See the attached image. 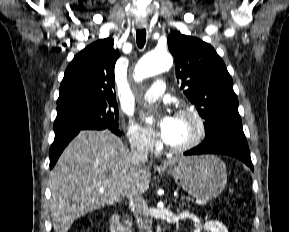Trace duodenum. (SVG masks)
<instances>
[{
	"label": "duodenum",
	"instance_id": "1",
	"mask_svg": "<svg viewBox=\"0 0 289 232\" xmlns=\"http://www.w3.org/2000/svg\"><path fill=\"white\" fill-rule=\"evenodd\" d=\"M110 231L111 232H126L123 226L119 213H114L110 217Z\"/></svg>",
	"mask_w": 289,
	"mask_h": 232
}]
</instances>
